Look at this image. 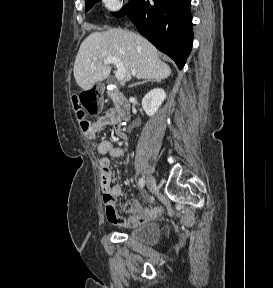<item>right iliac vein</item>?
<instances>
[{"label": "right iliac vein", "instance_id": "63e3f726", "mask_svg": "<svg viewBox=\"0 0 273 288\" xmlns=\"http://www.w3.org/2000/svg\"><path fill=\"white\" fill-rule=\"evenodd\" d=\"M147 187L150 192H154L156 190V182L152 176L147 177Z\"/></svg>", "mask_w": 273, "mask_h": 288}]
</instances>
